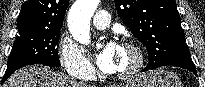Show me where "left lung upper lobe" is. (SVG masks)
<instances>
[{"label":"left lung upper lobe","instance_id":"1","mask_svg":"<svg viewBox=\"0 0 205 87\" xmlns=\"http://www.w3.org/2000/svg\"><path fill=\"white\" fill-rule=\"evenodd\" d=\"M117 13L148 49L150 69L189 52L174 0H114Z\"/></svg>","mask_w":205,"mask_h":87}]
</instances>
